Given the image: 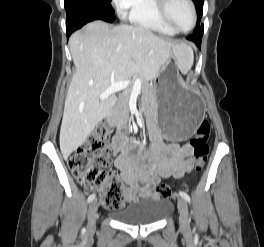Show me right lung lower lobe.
<instances>
[{
  "mask_svg": "<svg viewBox=\"0 0 264 247\" xmlns=\"http://www.w3.org/2000/svg\"><path fill=\"white\" fill-rule=\"evenodd\" d=\"M104 20V18L85 11H72L67 14V21H66V33L67 38L77 29L84 26L86 23L91 22L93 20ZM105 21V20H104ZM109 22V21H106ZM115 22V20L111 21L110 23Z\"/></svg>",
  "mask_w": 264,
  "mask_h": 247,
  "instance_id": "obj_1",
  "label": "right lung lower lobe"
}]
</instances>
